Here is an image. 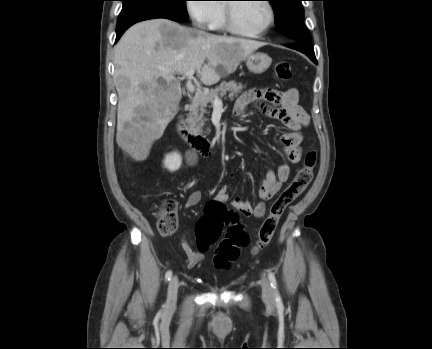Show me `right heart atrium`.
Listing matches in <instances>:
<instances>
[{"label": "right heart atrium", "mask_w": 432, "mask_h": 349, "mask_svg": "<svg viewBox=\"0 0 432 349\" xmlns=\"http://www.w3.org/2000/svg\"><path fill=\"white\" fill-rule=\"evenodd\" d=\"M187 12L195 26L210 29L219 13V3L216 0H188Z\"/></svg>", "instance_id": "d8ad5b80"}]
</instances>
